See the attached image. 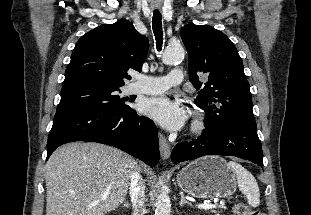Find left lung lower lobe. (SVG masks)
<instances>
[{
	"label": "left lung lower lobe",
	"mask_w": 311,
	"mask_h": 215,
	"mask_svg": "<svg viewBox=\"0 0 311 215\" xmlns=\"http://www.w3.org/2000/svg\"><path fill=\"white\" fill-rule=\"evenodd\" d=\"M201 136L178 143L172 151L174 164L205 155L236 156L263 166V152L252 117H234L217 124L205 123Z\"/></svg>",
	"instance_id": "left-lung-lower-lobe-1"
}]
</instances>
